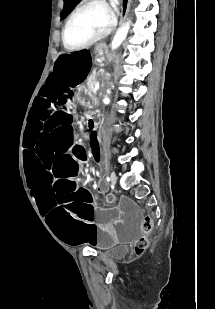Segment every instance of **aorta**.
I'll list each match as a JSON object with an SVG mask.
<instances>
[{
	"label": "aorta",
	"mask_w": 215,
	"mask_h": 309,
	"mask_svg": "<svg viewBox=\"0 0 215 309\" xmlns=\"http://www.w3.org/2000/svg\"><path fill=\"white\" fill-rule=\"evenodd\" d=\"M130 28V22L128 20V22H124V24H122V26H119L112 42H111V48L112 50H114V48H118V46H120L121 42H123V40H125L127 34H128V30Z\"/></svg>",
	"instance_id": "aorta-1"
}]
</instances>
